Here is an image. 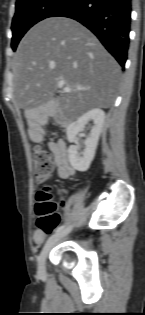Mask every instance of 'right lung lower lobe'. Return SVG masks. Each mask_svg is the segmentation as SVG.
Instances as JSON below:
<instances>
[{"instance_id":"right-lung-lower-lobe-1","label":"right lung lower lobe","mask_w":145,"mask_h":315,"mask_svg":"<svg viewBox=\"0 0 145 315\" xmlns=\"http://www.w3.org/2000/svg\"><path fill=\"white\" fill-rule=\"evenodd\" d=\"M75 19L89 28L124 67L129 47L131 0H71L51 17Z\"/></svg>"}]
</instances>
